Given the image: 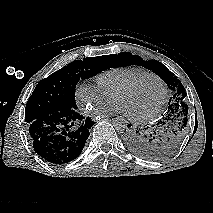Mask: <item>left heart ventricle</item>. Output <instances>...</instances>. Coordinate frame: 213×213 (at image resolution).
<instances>
[{
  "label": "left heart ventricle",
  "instance_id": "b2bd125f",
  "mask_svg": "<svg viewBox=\"0 0 213 213\" xmlns=\"http://www.w3.org/2000/svg\"><path fill=\"white\" fill-rule=\"evenodd\" d=\"M161 96L159 81L146 78L132 89L118 95L115 101L122 104L129 115L139 116L152 110L159 103Z\"/></svg>",
  "mask_w": 213,
  "mask_h": 213
}]
</instances>
